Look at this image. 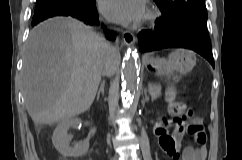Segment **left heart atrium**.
<instances>
[{
  "mask_svg": "<svg viewBox=\"0 0 242 160\" xmlns=\"http://www.w3.org/2000/svg\"><path fill=\"white\" fill-rule=\"evenodd\" d=\"M103 15L116 23L129 24L140 21L146 13L145 0H101Z\"/></svg>",
  "mask_w": 242,
  "mask_h": 160,
  "instance_id": "1",
  "label": "left heart atrium"
}]
</instances>
